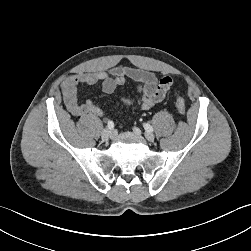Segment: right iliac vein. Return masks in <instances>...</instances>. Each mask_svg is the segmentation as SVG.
<instances>
[{
    "mask_svg": "<svg viewBox=\"0 0 251 251\" xmlns=\"http://www.w3.org/2000/svg\"><path fill=\"white\" fill-rule=\"evenodd\" d=\"M113 135V131L109 128H105L101 133V138L103 141H108Z\"/></svg>",
    "mask_w": 251,
    "mask_h": 251,
    "instance_id": "right-iliac-vein-1",
    "label": "right iliac vein"
}]
</instances>
